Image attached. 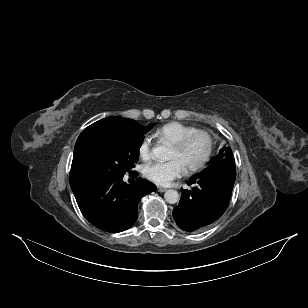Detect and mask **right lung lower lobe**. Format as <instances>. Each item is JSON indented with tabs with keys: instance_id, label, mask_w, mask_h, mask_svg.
Here are the masks:
<instances>
[{
	"instance_id": "right-lung-lower-lobe-1",
	"label": "right lung lower lobe",
	"mask_w": 308,
	"mask_h": 308,
	"mask_svg": "<svg viewBox=\"0 0 308 308\" xmlns=\"http://www.w3.org/2000/svg\"><path fill=\"white\" fill-rule=\"evenodd\" d=\"M84 217L95 227L118 233L131 227L137 218L142 196L156 192V186L138 178L127 184L123 177H87L71 187Z\"/></svg>"
}]
</instances>
